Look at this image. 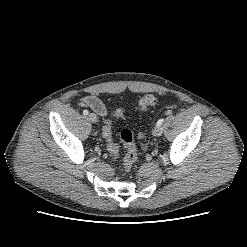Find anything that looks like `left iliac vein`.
I'll list each match as a JSON object with an SVG mask.
<instances>
[{"mask_svg": "<svg viewBox=\"0 0 247 247\" xmlns=\"http://www.w3.org/2000/svg\"><path fill=\"white\" fill-rule=\"evenodd\" d=\"M162 133H163V129H162L161 125L160 126H157L156 125L155 128H154V130H153V134L155 136L159 137V136L162 135Z\"/></svg>", "mask_w": 247, "mask_h": 247, "instance_id": "obj_1", "label": "left iliac vein"}]
</instances>
